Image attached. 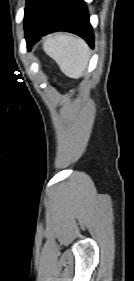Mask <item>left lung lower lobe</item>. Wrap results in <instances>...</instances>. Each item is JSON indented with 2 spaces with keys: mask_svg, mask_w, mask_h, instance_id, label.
Listing matches in <instances>:
<instances>
[{
  "mask_svg": "<svg viewBox=\"0 0 134 281\" xmlns=\"http://www.w3.org/2000/svg\"><path fill=\"white\" fill-rule=\"evenodd\" d=\"M24 27L28 50L37 38L56 29L77 34L94 47V35L83 0H40Z\"/></svg>",
  "mask_w": 134,
  "mask_h": 281,
  "instance_id": "left-lung-lower-lobe-1",
  "label": "left lung lower lobe"
}]
</instances>
